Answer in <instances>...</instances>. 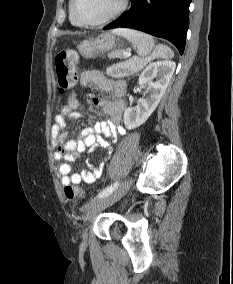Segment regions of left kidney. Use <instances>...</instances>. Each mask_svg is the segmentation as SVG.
<instances>
[{
	"label": "left kidney",
	"instance_id": "obj_1",
	"mask_svg": "<svg viewBox=\"0 0 233 284\" xmlns=\"http://www.w3.org/2000/svg\"><path fill=\"white\" fill-rule=\"evenodd\" d=\"M176 64L170 60L152 62L142 71L138 84L148 86L149 95L140 98L135 107H129L124 112V124L127 129H134L147 121L158 106L165 90L173 76ZM156 78L157 81L152 80Z\"/></svg>",
	"mask_w": 233,
	"mask_h": 284
}]
</instances>
